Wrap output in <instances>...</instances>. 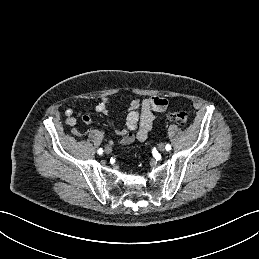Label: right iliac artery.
I'll return each instance as SVG.
<instances>
[{
	"mask_svg": "<svg viewBox=\"0 0 259 259\" xmlns=\"http://www.w3.org/2000/svg\"><path fill=\"white\" fill-rule=\"evenodd\" d=\"M98 153H99V154H102V153H103V149L100 148V149L98 150Z\"/></svg>",
	"mask_w": 259,
	"mask_h": 259,
	"instance_id": "1",
	"label": "right iliac artery"
}]
</instances>
